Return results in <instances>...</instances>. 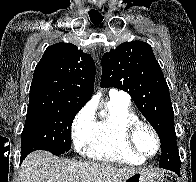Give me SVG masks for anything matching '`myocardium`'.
I'll return each mask as SVG.
<instances>
[{"label": "myocardium", "instance_id": "obj_1", "mask_svg": "<svg viewBox=\"0 0 196 182\" xmlns=\"http://www.w3.org/2000/svg\"><path fill=\"white\" fill-rule=\"evenodd\" d=\"M141 128H147L148 130L151 131V133L155 137L157 148L153 154H145L139 149V147L136 144V136ZM124 140H125L126 147L132 153H134L135 155L145 160L155 157L161 150L162 144H161V138H160L158 131L152 124L146 121L137 120L129 124L124 133Z\"/></svg>", "mask_w": 196, "mask_h": 182}]
</instances>
